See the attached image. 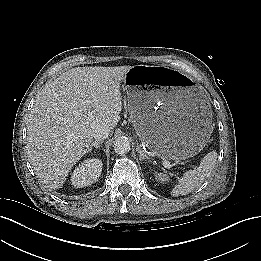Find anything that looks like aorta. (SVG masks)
Returning <instances> with one entry per match:
<instances>
[{"label":"aorta","instance_id":"1","mask_svg":"<svg viewBox=\"0 0 261 261\" xmlns=\"http://www.w3.org/2000/svg\"><path fill=\"white\" fill-rule=\"evenodd\" d=\"M113 148L117 154H125L130 151V142L126 137H118L114 140Z\"/></svg>","mask_w":261,"mask_h":261}]
</instances>
